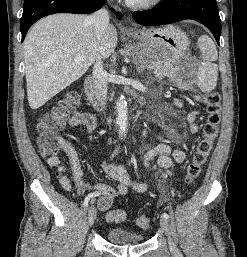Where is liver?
I'll list each match as a JSON object with an SVG mask.
<instances>
[{
    "mask_svg": "<svg viewBox=\"0 0 247 257\" xmlns=\"http://www.w3.org/2000/svg\"><path fill=\"white\" fill-rule=\"evenodd\" d=\"M117 31L108 25L98 40L89 16L53 14L28 32L23 53L29 106L35 110L78 80L98 59L117 46ZM82 57L81 61H75Z\"/></svg>",
    "mask_w": 247,
    "mask_h": 257,
    "instance_id": "obj_1",
    "label": "liver"
}]
</instances>
